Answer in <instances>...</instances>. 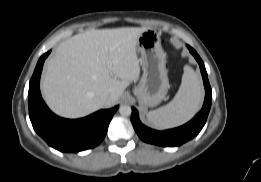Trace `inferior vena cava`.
I'll return each mask as SVG.
<instances>
[{
	"instance_id": "1",
	"label": "inferior vena cava",
	"mask_w": 261,
	"mask_h": 182,
	"mask_svg": "<svg viewBox=\"0 0 261 182\" xmlns=\"http://www.w3.org/2000/svg\"><path fill=\"white\" fill-rule=\"evenodd\" d=\"M108 98H109V96L107 95V96H106V99H108Z\"/></svg>"
}]
</instances>
